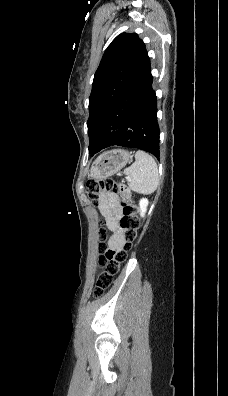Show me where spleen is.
<instances>
[{"instance_id":"obj_1","label":"spleen","mask_w":228,"mask_h":396,"mask_svg":"<svg viewBox=\"0 0 228 396\" xmlns=\"http://www.w3.org/2000/svg\"><path fill=\"white\" fill-rule=\"evenodd\" d=\"M129 188L137 193L151 194L159 185L158 167L154 158L148 153L138 150L135 162L124 170Z\"/></svg>"}]
</instances>
